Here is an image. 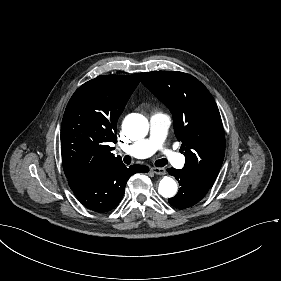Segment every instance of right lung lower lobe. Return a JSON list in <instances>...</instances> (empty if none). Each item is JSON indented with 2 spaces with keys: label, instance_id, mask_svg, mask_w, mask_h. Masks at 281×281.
Segmentation results:
<instances>
[{
  "label": "right lung lower lobe",
  "instance_id": "right-lung-lower-lobe-1",
  "mask_svg": "<svg viewBox=\"0 0 281 281\" xmlns=\"http://www.w3.org/2000/svg\"><path fill=\"white\" fill-rule=\"evenodd\" d=\"M148 171L149 168L144 165H132L127 168L119 164L108 167L89 178L68 180V182L77 199L85 207L103 213L119 204L131 175Z\"/></svg>",
  "mask_w": 281,
  "mask_h": 281
}]
</instances>
